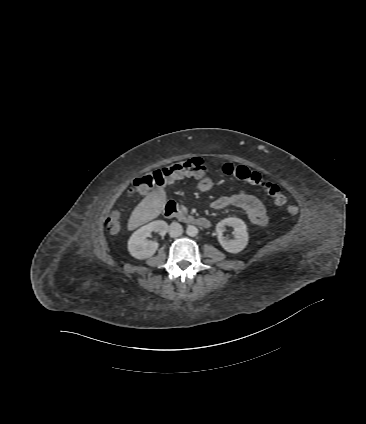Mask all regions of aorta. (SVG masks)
Masks as SVG:
<instances>
[{"label": "aorta", "instance_id": "1", "mask_svg": "<svg viewBox=\"0 0 366 424\" xmlns=\"http://www.w3.org/2000/svg\"><path fill=\"white\" fill-rule=\"evenodd\" d=\"M186 233L189 236H196L198 234V229L194 225H188L186 228Z\"/></svg>", "mask_w": 366, "mask_h": 424}]
</instances>
